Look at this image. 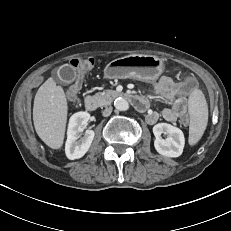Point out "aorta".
Listing matches in <instances>:
<instances>
[{
    "mask_svg": "<svg viewBox=\"0 0 231 231\" xmlns=\"http://www.w3.org/2000/svg\"><path fill=\"white\" fill-rule=\"evenodd\" d=\"M114 106L119 111H126L129 109L128 101L121 97L115 99Z\"/></svg>",
    "mask_w": 231,
    "mask_h": 231,
    "instance_id": "aorta-1",
    "label": "aorta"
}]
</instances>
